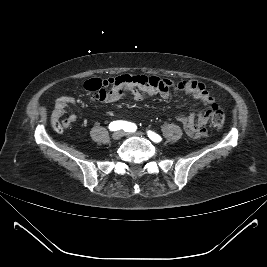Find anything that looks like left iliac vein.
<instances>
[{
	"label": "left iliac vein",
	"instance_id": "obj_1",
	"mask_svg": "<svg viewBox=\"0 0 267 267\" xmlns=\"http://www.w3.org/2000/svg\"><path fill=\"white\" fill-rule=\"evenodd\" d=\"M126 135H128V136H139V137H142L145 134L143 132L137 131V132H128V133H126Z\"/></svg>",
	"mask_w": 267,
	"mask_h": 267
}]
</instances>
